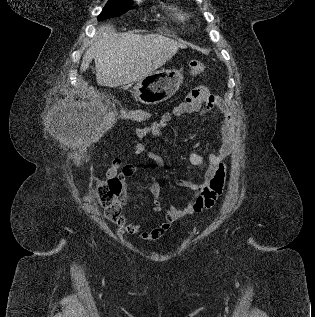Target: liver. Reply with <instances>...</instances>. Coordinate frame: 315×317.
<instances>
[{
  "mask_svg": "<svg viewBox=\"0 0 315 317\" xmlns=\"http://www.w3.org/2000/svg\"><path fill=\"white\" fill-rule=\"evenodd\" d=\"M99 38L85 52L81 71L95 61L96 81L100 86L118 87L139 81L163 66L186 43L160 34L137 35L115 33L106 24L99 29Z\"/></svg>",
  "mask_w": 315,
  "mask_h": 317,
  "instance_id": "1",
  "label": "liver"
}]
</instances>
